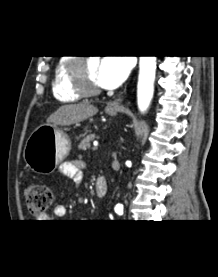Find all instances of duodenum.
Listing matches in <instances>:
<instances>
[{
  "instance_id": "410a0bca",
  "label": "duodenum",
  "mask_w": 218,
  "mask_h": 277,
  "mask_svg": "<svg viewBox=\"0 0 218 277\" xmlns=\"http://www.w3.org/2000/svg\"><path fill=\"white\" fill-rule=\"evenodd\" d=\"M108 190V183L105 178H98L95 182V191L98 197H104Z\"/></svg>"
}]
</instances>
